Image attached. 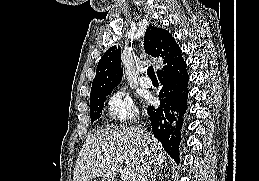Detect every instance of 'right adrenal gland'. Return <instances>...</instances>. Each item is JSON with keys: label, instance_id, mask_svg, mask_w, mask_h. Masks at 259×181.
I'll list each match as a JSON object with an SVG mask.
<instances>
[{"label": "right adrenal gland", "instance_id": "2a0ac1e0", "mask_svg": "<svg viewBox=\"0 0 259 181\" xmlns=\"http://www.w3.org/2000/svg\"><path fill=\"white\" fill-rule=\"evenodd\" d=\"M157 180V171H153L151 174L150 181H156Z\"/></svg>", "mask_w": 259, "mask_h": 181}]
</instances>
